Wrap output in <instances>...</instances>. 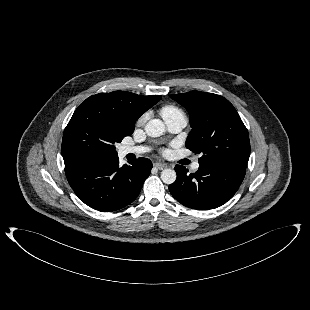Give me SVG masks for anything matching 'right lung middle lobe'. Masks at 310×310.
<instances>
[{"label":"right lung middle lobe","instance_id":"right-lung-middle-lobe-1","mask_svg":"<svg viewBox=\"0 0 310 310\" xmlns=\"http://www.w3.org/2000/svg\"><path fill=\"white\" fill-rule=\"evenodd\" d=\"M133 131L107 116H72L64 131L62 148L71 156L83 160L117 156L114 144Z\"/></svg>","mask_w":310,"mask_h":310}]
</instances>
